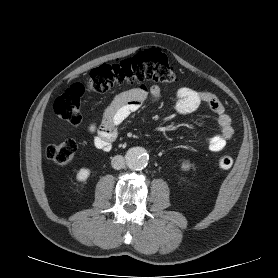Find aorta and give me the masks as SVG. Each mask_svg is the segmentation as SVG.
<instances>
[{
  "label": "aorta",
  "mask_w": 278,
  "mask_h": 278,
  "mask_svg": "<svg viewBox=\"0 0 278 278\" xmlns=\"http://www.w3.org/2000/svg\"><path fill=\"white\" fill-rule=\"evenodd\" d=\"M125 159L131 170H142L148 164L149 155L144 148L133 147L127 151Z\"/></svg>",
  "instance_id": "1"
}]
</instances>
